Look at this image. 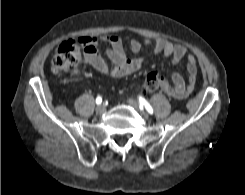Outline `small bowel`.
Instances as JSON below:
<instances>
[{"label": "small bowel", "instance_id": "small-bowel-1", "mask_svg": "<svg viewBox=\"0 0 245 195\" xmlns=\"http://www.w3.org/2000/svg\"><path fill=\"white\" fill-rule=\"evenodd\" d=\"M108 44L104 58L98 51V39L92 36H83L79 38V43L84 48L85 60L100 73L112 77L121 78L130 75L139 70L143 64V58H129L120 38L107 35L101 38ZM150 46L154 54H161L170 58L173 65L178 64L182 59H186V69L188 73L187 82L177 72L171 76L172 84L163 81L162 91L175 100H182L188 97L194 90L197 78L196 58L188 54L187 48L180 44H173L166 39L138 40L131 41L129 45L130 52L136 54L141 51L143 46Z\"/></svg>", "mask_w": 245, "mask_h": 195}]
</instances>
